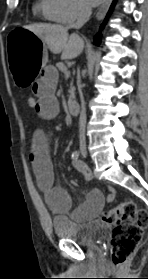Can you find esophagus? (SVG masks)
Wrapping results in <instances>:
<instances>
[{"label":"esophagus","instance_id":"34e87169","mask_svg":"<svg viewBox=\"0 0 148 279\" xmlns=\"http://www.w3.org/2000/svg\"><path fill=\"white\" fill-rule=\"evenodd\" d=\"M110 2H111V0H104L103 1L102 5L100 6V8L98 9V11L96 13V19L97 20H101L105 17Z\"/></svg>","mask_w":148,"mask_h":279}]
</instances>
